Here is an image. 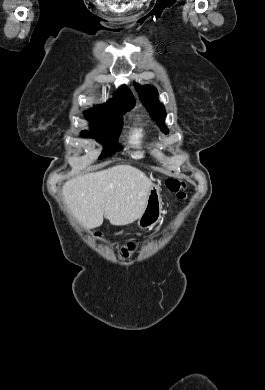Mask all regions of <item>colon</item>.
<instances>
[{"mask_svg":"<svg viewBox=\"0 0 265 390\" xmlns=\"http://www.w3.org/2000/svg\"><path fill=\"white\" fill-rule=\"evenodd\" d=\"M167 189L174 193L180 200H184L187 196L186 185L184 182L180 181L177 178H168L166 180ZM136 245L134 243H129L121 249V256L129 257L130 254L135 250Z\"/></svg>","mask_w":265,"mask_h":390,"instance_id":"obj_1","label":"colon"}]
</instances>
